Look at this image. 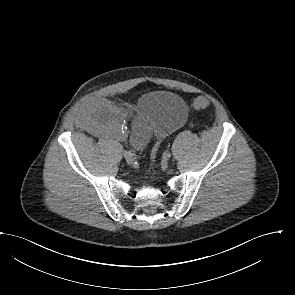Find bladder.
<instances>
[{
    "instance_id": "obj_1",
    "label": "bladder",
    "mask_w": 295,
    "mask_h": 295,
    "mask_svg": "<svg viewBox=\"0 0 295 295\" xmlns=\"http://www.w3.org/2000/svg\"><path fill=\"white\" fill-rule=\"evenodd\" d=\"M187 114L188 108L183 98L171 91L144 94L136 110V116L147 118L152 130L161 137L180 127Z\"/></svg>"
}]
</instances>
